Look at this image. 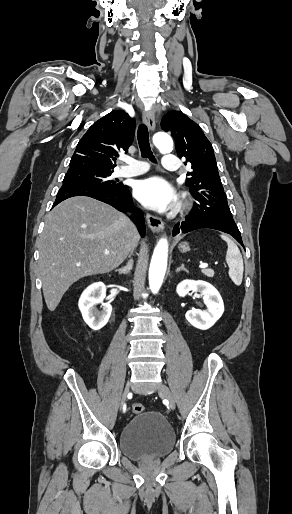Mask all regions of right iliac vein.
Masks as SVG:
<instances>
[{
    "instance_id": "obj_1",
    "label": "right iliac vein",
    "mask_w": 292,
    "mask_h": 514,
    "mask_svg": "<svg viewBox=\"0 0 292 514\" xmlns=\"http://www.w3.org/2000/svg\"><path fill=\"white\" fill-rule=\"evenodd\" d=\"M129 391H130V386H129V383H127L125 388H124L123 394H122V402L125 401L126 397L129 394Z\"/></svg>"
}]
</instances>
